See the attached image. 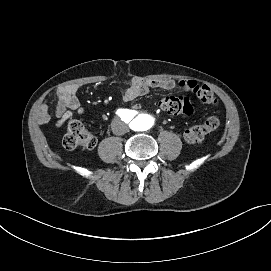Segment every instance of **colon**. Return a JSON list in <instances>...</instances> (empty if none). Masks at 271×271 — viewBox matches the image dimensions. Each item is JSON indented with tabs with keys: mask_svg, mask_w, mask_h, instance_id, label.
I'll return each mask as SVG.
<instances>
[{
	"mask_svg": "<svg viewBox=\"0 0 271 271\" xmlns=\"http://www.w3.org/2000/svg\"><path fill=\"white\" fill-rule=\"evenodd\" d=\"M196 96L203 103L210 105L218 103L215 94L207 86H200ZM158 105L169 114H191L194 111V103L183 96H165L161 98ZM218 126V117L209 116L203 123L188 128L184 133V139L188 144H200ZM63 144L67 149H91L95 146L96 139L80 121L73 120L68 124Z\"/></svg>",
	"mask_w": 271,
	"mask_h": 271,
	"instance_id": "obj_1",
	"label": "colon"
}]
</instances>
